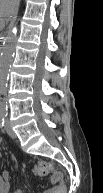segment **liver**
<instances>
[{
  "label": "liver",
  "mask_w": 103,
  "mask_h": 193,
  "mask_svg": "<svg viewBox=\"0 0 103 193\" xmlns=\"http://www.w3.org/2000/svg\"><path fill=\"white\" fill-rule=\"evenodd\" d=\"M17 0H1L0 1V14L2 17H9L15 11Z\"/></svg>",
  "instance_id": "liver-1"
}]
</instances>
